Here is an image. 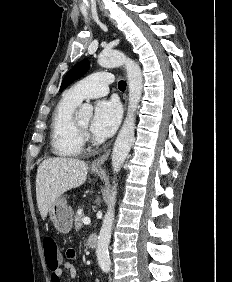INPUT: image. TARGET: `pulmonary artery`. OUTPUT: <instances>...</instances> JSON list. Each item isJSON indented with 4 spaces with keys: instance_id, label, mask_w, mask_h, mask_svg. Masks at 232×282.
Listing matches in <instances>:
<instances>
[{
    "instance_id": "pulmonary-artery-1",
    "label": "pulmonary artery",
    "mask_w": 232,
    "mask_h": 282,
    "mask_svg": "<svg viewBox=\"0 0 232 282\" xmlns=\"http://www.w3.org/2000/svg\"><path fill=\"white\" fill-rule=\"evenodd\" d=\"M114 78L110 72H96L72 86L67 93L81 102L85 98H95L108 93L109 85Z\"/></svg>"
}]
</instances>
